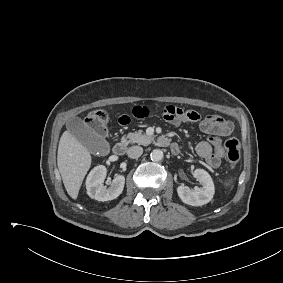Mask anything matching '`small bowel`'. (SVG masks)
Segmentation results:
<instances>
[{"instance_id":"obj_1","label":"small bowel","mask_w":283,"mask_h":283,"mask_svg":"<svg viewBox=\"0 0 283 283\" xmlns=\"http://www.w3.org/2000/svg\"><path fill=\"white\" fill-rule=\"evenodd\" d=\"M149 113L150 111L147 107L138 106L132 110L131 115L137 118H144ZM163 116L175 126H180L183 123L198 124L200 130L209 135L207 140L197 144L196 152L198 156L204 159L206 164L212 169L220 166L224 157L221 137L229 136L232 133V122L215 114L202 117L194 110H184L174 105L166 106ZM118 121L121 125H127L130 122V116L122 114L119 116Z\"/></svg>"}]
</instances>
